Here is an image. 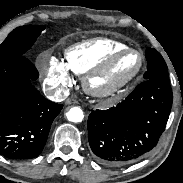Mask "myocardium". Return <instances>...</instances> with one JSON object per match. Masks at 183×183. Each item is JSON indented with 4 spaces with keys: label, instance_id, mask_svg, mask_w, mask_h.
Instances as JSON below:
<instances>
[{
    "label": "myocardium",
    "instance_id": "myocardium-1",
    "mask_svg": "<svg viewBox=\"0 0 183 183\" xmlns=\"http://www.w3.org/2000/svg\"><path fill=\"white\" fill-rule=\"evenodd\" d=\"M125 53H135L139 56L140 63L138 69L124 82L110 86L108 88L99 89L94 86L93 82L96 78L106 73L115 63V61ZM145 64V58L141 51L131 48L123 47L117 50H114L108 54L103 61L98 65L89 70L83 77V88L87 94L96 98H109L120 95L126 89H128L141 75Z\"/></svg>",
    "mask_w": 183,
    "mask_h": 183
}]
</instances>
